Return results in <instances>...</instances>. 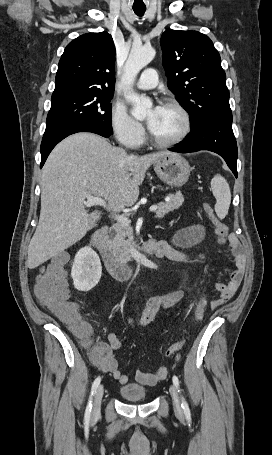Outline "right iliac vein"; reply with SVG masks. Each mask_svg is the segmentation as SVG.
<instances>
[{
    "instance_id": "obj_1",
    "label": "right iliac vein",
    "mask_w": 272,
    "mask_h": 455,
    "mask_svg": "<svg viewBox=\"0 0 272 455\" xmlns=\"http://www.w3.org/2000/svg\"><path fill=\"white\" fill-rule=\"evenodd\" d=\"M103 394H104V387H103V385H99L97 388L95 397H94L93 410H92L93 416H97L100 413Z\"/></svg>"
}]
</instances>
